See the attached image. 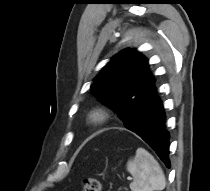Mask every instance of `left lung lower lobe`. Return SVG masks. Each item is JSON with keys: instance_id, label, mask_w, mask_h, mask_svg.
<instances>
[{"instance_id": "0a47b994", "label": "left lung lower lobe", "mask_w": 210, "mask_h": 191, "mask_svg": "<svg viewBox=\"0 0 210 191\" xmlns=\"http://www.w3.org/2000/svg\"><path fill=\"white\" fill-rule=\"evenodd\" d=\"M128 123L129 130L139 135L159 156L167 168L169 161V133L166 129V117L156 86L139 103L133 107ZM133 115V116H132ZM128 129V128H127Z\"/></svg>"}]
</instances>
